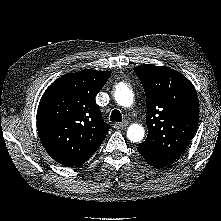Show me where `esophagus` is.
Listing matches in <instances>:
<instances>
[{
  "mask_svg": "<svg viewBox=\"0 0 221 221\" xmlns=\"http://www.w3.org/2000/svg\"><path fill=\"white\" fill-rule=\"evenodd\" d=\"M127 125H128V121L125 120L123 122L116 123L115 127L118 128V129H120V128L122 129V128H125Z\"/></svg>",
  "mask_w": 221,
  "mask_h": 221,
  "instance_id": "obj_1",
  "label": "esophagus"
}]
</instances>
